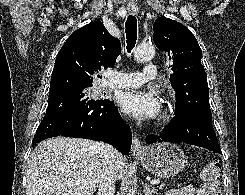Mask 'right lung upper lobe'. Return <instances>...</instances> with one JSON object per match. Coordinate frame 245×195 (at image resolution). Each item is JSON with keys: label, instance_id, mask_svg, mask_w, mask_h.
<instances>
[{"label": "right lung upper lobe", "instance_id": "1", "mask_svg": "<svg viewBox=\"0 0 245 195\" xmlns=\"http://www.w3.org/2000/svg\"><path fill=\"white\" fill-rule=\"evenodd\" d=\"M121 53L119 39L101 21L73 32L57 54L50 93L75 87H92L96 71L113 67Z\"/></svg>", "mask_w": 245, "mask_h": 195}]
</instances>
